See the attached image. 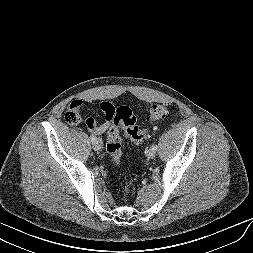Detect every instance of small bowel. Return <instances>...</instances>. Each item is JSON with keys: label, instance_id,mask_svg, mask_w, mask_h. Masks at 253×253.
<instances>
[{"label": "small bowel", "instance_id": "small-bowel-1", "mask_svg": "<svg viewBox=\"0 0 253 253\" xmlns=\"http://www.w3.org/2000/svg\"><path fill=\"white\" fill-rule=\"evenodd\" d=\"M113 106L109 103H103L100 107L101 113L104 116V121L97 124L95 121L92 126H88L89 130L94 134H102L107 131L112 125Z\"/></svg>", "mask_w": 253, "mask_h": 253}]
</instances>
